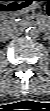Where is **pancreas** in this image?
<instances>
[{
	"label": "pancreas",
	"mask_w": 50,
	"mask_h": 111,
	"mask_svg": "<svg viewBox=\"0 0 50 111\" xmlns=\"http://www.w3.org/2000/svg\"><path fill=\"white\" fill-rule=\"evenodd\" d=\"M2 26L4 28H7V27H10V26H17V23L13 19H11V20H4L2 22Z\"/></svg>",
	"instance_id": "cf45deb5"
}]
</instances>
